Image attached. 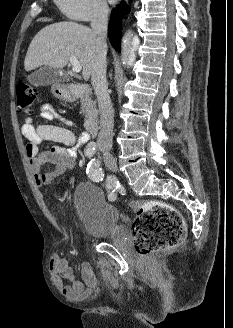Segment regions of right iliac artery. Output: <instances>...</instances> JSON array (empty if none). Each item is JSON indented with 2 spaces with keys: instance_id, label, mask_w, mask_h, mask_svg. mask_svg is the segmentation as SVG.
<instances>
[{
  "instance_id": "right-iliac-artery-1",
  "label": "right iliac artery",
  "mask_w": 233,
  "mask_h": 328,
  "mask_svg": "<svg viewBox=\"0 0 233 328\" xmlns=\"http://www.w3.org/2000/svg\"><path fill=\"white\" fill-rule=\"evenodd\" d=\"M96 152V144L95 143H90L85 151V155L89 158L93 157V155ZM105 188L107 190L108 193V199L110 201H115L117 198V191L119 188V183L118 181L113 178L110 177L107 182L105 183Z\"/></svg>"
}]
</instances>
